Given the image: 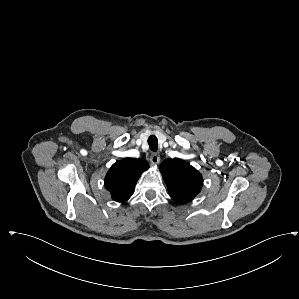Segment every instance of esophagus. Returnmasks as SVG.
<instances>
[{
  "label": "esophagus",
  "instance_id": "1",
  "mask_svg": "<svg viewBox=\"0 0 299 299\" xmlns=\"http://www.w3.org/2000/svg\"><path fill=\"white\" fill-rule=\"evenodd\" d=\"M150 162H151L153 165H157V164L160 162V157H159V155H157V154H152L151 157H150Z\"/></svg>",
  "mask_w": 299,
  "mask_h": 299
}]
</instances>
